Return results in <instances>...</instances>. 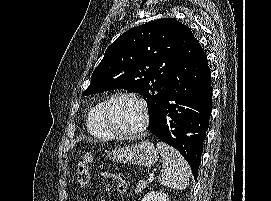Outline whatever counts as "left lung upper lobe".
Here are the masks:
<instances>
[{
	"label": "left lung upper lobe",
	"mask_w": 271,
	"mask_h": 201,
	"mask_svg": "<svg viewBox=\"0 0 271 201\" xmlns=\"http://www.w3.org/2000/svg\"><path fill=\"white\" fill-rule=\"evenodd\" d=\"M186 27L164 18L129 29L107 48L83 95L117 88L140 93L147 98L149 126L154 125Z\"/></svg>",
	"instance_id": "left-lung-upper-lobe-1"
}]
</instances>
